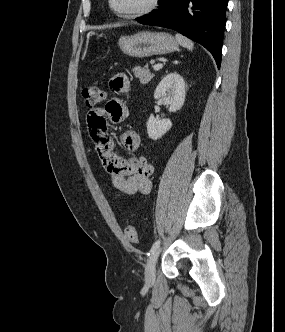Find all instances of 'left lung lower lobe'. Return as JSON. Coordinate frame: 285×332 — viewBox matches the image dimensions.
Returning <instances> with one entry per match:
<instances>
[{"instance_id": "0a47b994", "label": "left lung lower lobe", "mask_w": 285, "mask_h": 332, "mask_svg": "<svg viewBox=\"0 0 285 332\" xmlns=\"http://www.w3.org/2000/svg\"><path fill=\"white\" fill-rule=\"evenodd\" d=\"M228 0H161L159 9L137 21L178 31L203 45L221 64Z\"/></svg>"}]
</instances>
